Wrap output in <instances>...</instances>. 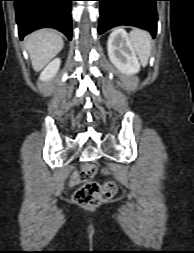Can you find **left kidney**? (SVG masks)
<instances>
[{
	"mask_svg": "<svg viewBox=\"0 0 194 253\" xmlns=\"http://www.w3.org/2000/svg\"><path fill=\"white\" fill-rule=\"evenodd\" d=\"M107 48L110 61L121 73L133 75L139 72L140 64L123 29H115L110 34Z\"/></svg>",
	"mask_w": 194,
	"mask_h": 253,
	"instance_id": "5707ae66",
	"label": "left kidney"
}]
</instances>
